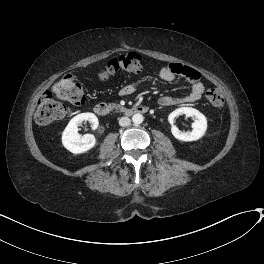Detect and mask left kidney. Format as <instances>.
I'll return each instance as SVG.
<instances>
[{
    "label": "left kidney",
    "mask_w": 264,
    "mask_h": 264,
    "mask_svg": "<svg viewBox=\"0 0 264 264\" xmlns=\"http://www.w3.org/2000/svg\"><path fill=\"white\" fill-rule=\"evenodd\" d=\"M180 115H186L187 117H191L194 122L192 123V131L191 132H183L180 131L175 125V118ZM169 123L172 125L171 132L173 136L181 141H196L200 139L207 130V119L206 117L197 109L191 107H181L174 110L170 113L168 117Z\"/></svg>",
    "instance_id": "1"
}]
</instances>
